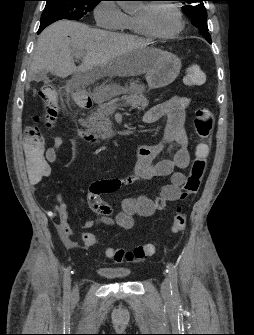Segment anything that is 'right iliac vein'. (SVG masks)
Listing matches in <instances>:
<instances>
[{"instance_id": "63e3f726", "label": "right iliac vein", "mask_w": 254, "mask_h": 335, "mask_svg": "<svg viewBox=\"0 0 254 335\" xmlns=\"http://www.w3.org/2000/svg\"><path fill=\"white\" fill-rule=\"evenodd\" d=\"M77 295H78V288L75 287V288L73 289V296L76 297Z\"/></svg>"}]
</instances>
